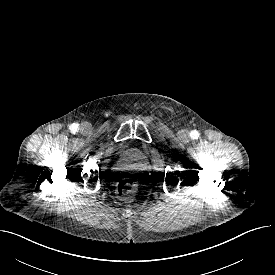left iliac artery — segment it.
<instances>
[{"instance_id":"left-iliac-artery-1","label":"left iliac artery","mask_w":275,"mask_h":275,"mask_svg":"<svg viewBox=\"0 0 275 275\" xmlns=\"http://www.w3.org/2000/svg\"><path fill=\"white\" fill-rule=\"evenodd\" d=\"M190 136L192 139H197L199 137V133H198V131L194 130L191 132Z\"/></svg>"}]
</instances>
